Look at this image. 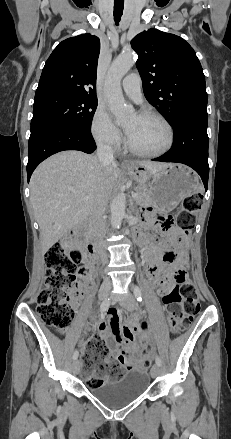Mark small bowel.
Returning <instances> with one entry per match:
<instances>
[{"instance_id": "small-bowel-1", "label": "small bowel", "mask_w": 231, "mask_h": 439, "mask_svg": "<svg viewBox=\"0 0 231 439\" xmlns=\"http://www.w3.org/2000/svg\"><path fill=\"white\" fill-rule=\"evenodd\" d=\"M153 220L151 214H147ZM148 230V229H147ZM146 230V231H147ZM140 240H146L147 246L144 251L145 260L149 264V279L153 287L158 289L160 294H163L170 288V282L167 277L172 274L175 266L168 259L169 255H173L170 251L171 244H169L165 236H158L155 240L148 241L145 235L140 232L137 233ZM168 236L173 241H181V234L175 228H172ZM185 244H182L180 256H185ZM76 291L74 298V305H78L81 295ZM140 314H136L127 325H121L119 320V313L116 309H110L108 312L109 325L100 322L98 327L102 337L110 346L111 358L117 359L128 370L136 368L138 364L135 362V356L146 350L148 338L146 336H139L136 333ZM82 343V350H84ZM109 360L105 361L108 362Z\"/></svg>"}]
</instances>
